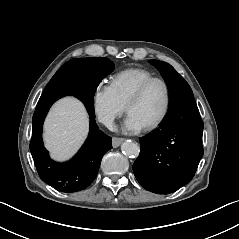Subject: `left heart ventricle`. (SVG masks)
<instances>
[{"label":"left heart ventricle","mask_w":239,"mask_h":239,"mask_svg":"<svg viewBox=\"0 0 239 239\" xmlns=\"http://www.w3.org/2000/svg\"><path fill=\"white\" fill-rule=\"evenodd\" d=\"M166 102L164 86L153 83L145 92L143 97L135 103L129 113L136 116L145 126L153 123L163 112Z\"/></svg>","instance_id":"left-heart-ventricle-1"}]
</instances>
